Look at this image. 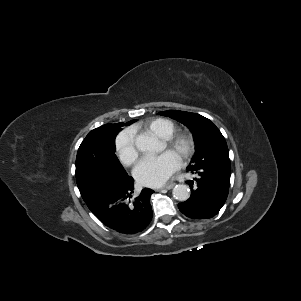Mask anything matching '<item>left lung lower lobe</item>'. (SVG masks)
Wrapping results in <instances>:
<instances>
[{
	"mask_svg": "<svg viewBox=\"0 0 301 301\" xmlns=\"http://www.w3.org/2000/svg\"><path fill=\"white\" fill-rule=\"evenodd\" d=\"M189 171L197 177L188 181L191 196L178 204L180 211L193 219L215 216L227 199L231 172L212 168Z\"/></svg>",
	"mask_w": 301,
	"mask_h": 301,
	"instance_id": "obj_1",
	"label": "left lung lower lobe"
}]
</instances>
